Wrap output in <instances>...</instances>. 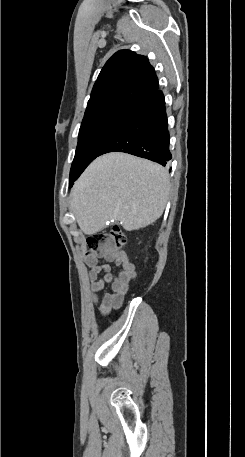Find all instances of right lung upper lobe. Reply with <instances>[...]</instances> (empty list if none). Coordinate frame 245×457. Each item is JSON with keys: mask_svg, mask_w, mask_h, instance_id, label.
Here are the masks:
<instances>
[{"mask_svg": "<svg viewBox=\"0 0 245 457\" xmlns=\"http://www.w3.org/2000/svg\"><path fill=\"white\" fill-rule=\"evenodd\" d=\"M158 89V79L145 56L129 50L115 53L94 84L85 113L109 109L130 110Z\"/></svg>", "mask_w": 245, "mask_h": 457, "instance_id": "1", "label": "right lung upper lobe"}]
</instances>
